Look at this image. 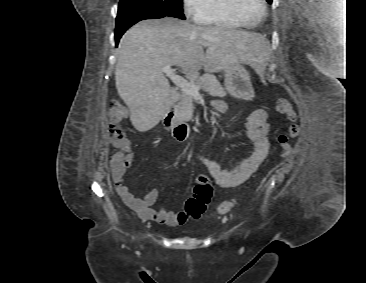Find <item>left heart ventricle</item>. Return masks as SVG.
Listing matches in <instances>:
<instances>
[{"instance_id": "b2bd125f", "label": "left heart ventricle", "mask_w": 366, "mask_h": 283, "mask_svg": "<svg viewBox=\"0 0 366 283\" xmlns=\"http://www.w3.org/2000/svg\"><path fill=\"white\" fill-rule=\"evenodd\" d=\"M239 12L247 23L252 24L260 17L262 6L259 0H240Z\"/></svg>"}]
</instances>
